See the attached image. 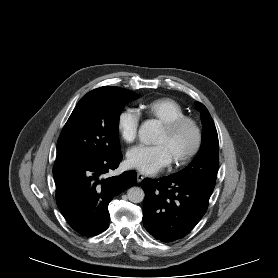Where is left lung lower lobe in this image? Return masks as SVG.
I'll return each mask as SVG.
<instances>
[{"mask_svg":"<svg viewBox=\"0 0 278 278\" xmlns=\"http://www.w3.org/2000/svg\"><path fill=\"white\" fill-rule=\"evenodd\" d=\"M143 224L157 240L172 242L187 235L205 214L214 187L171 176L144 179Z\"/></svg>","mask_w":278,"mask_h":278,"instance_id":"left-lung-lower-lobe-1","label":"left lung lower lobe"}]
</instances>
